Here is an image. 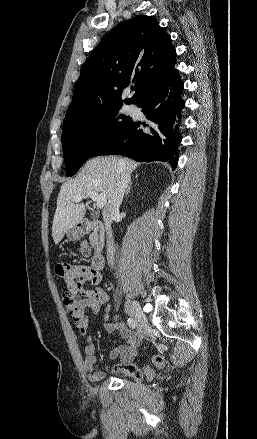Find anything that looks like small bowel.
I'll list each match as a JSON object with an SVG mask.
<instances>
[{"label":"small bowel","instance_id":"obj_1","mask_svg":"<svg viewBox=\"0 0 257 439\" xmlns=\"http://www.w3.org/2000/svg\"><path fill=\"white\" fill-rule=\"evenodd\" d=\"M56 273L64 279L70 291H78L83 295L84 298L79 310L71 316L79 332L82 335H87L89 321L85 311L89 309L97 315L101 311L107 313L109 310V297L105 290L99 286L101 274L90 266L66 263L57 265ZM87 282L92 285V288H84V284ZM104 327L109 334H118L124 341L123 344L110 352V358L118 360L115 370L119 372L130 364L138 353L136 336L123 322L111 320L107 314L104 318ZM84 355V368L88 379L92 382L103 379L107 374V369L95 371L98 359L95 355V345L90 338L87 339L84 346Z\"/></svg>","mask_w":257,"mask_h":439}]
</instances>
